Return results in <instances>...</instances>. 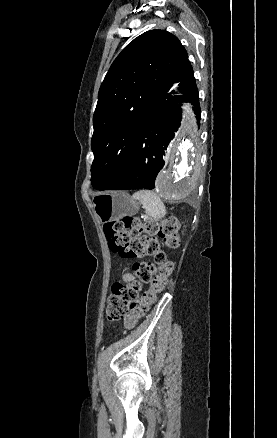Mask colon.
<instances>
[{
  "mask_svg": "<svg viewBox=\"0 0 277 438\" xmlns=\"http://www.w3.org/2000/svg\"><path fill=\"white\" fill-rule=\"evenodd\" d=\"M180 224L175 218L160 222L142 221L125 215L118 222H107L104 233L109 248L120 257H152L154 262L144 261L133 266L136 282H119L107 303V318L110 321L125 319V328L130 329L143 317L159 293L164 291L173 272V264L166 259L161 241L169 248L180 242ZM145 235H141V234ZM155 272L158 274L154 276ZM152 281L151 289L138 296L139 284Z\"/></svg>",
  "mask_w": 277,
  "mask_h": 438,
  "instance_id": "1",
  "label": "colon"
}]
</instances>
